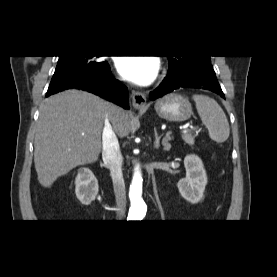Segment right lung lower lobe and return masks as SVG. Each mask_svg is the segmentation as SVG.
<instances>
[{"mask_svg": "<svg viewBox=\"0 0 277 277\" xmlns=\"http://www.w3.org/2000/svg\"><path fill=\"white\" fill-rule=\"evenodd\" d=\"M72 88L94 93L122 106L125 109H129L128 89L123 84L112 78L109 65L107 66L106 70L103 73H100L99 76L95 79L81 80L57 89H48L46 96H50L57 92Z\"/></svg>", "mask_w": 277, "mask_h": 277, "instance_id": "98d812e1", "label": "right lung lower lobe"}]
</instances>
